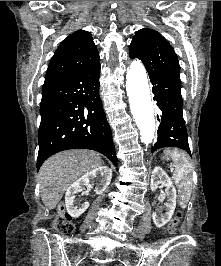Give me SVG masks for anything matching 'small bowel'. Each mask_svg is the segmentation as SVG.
<instances>
[{"label":"small bowel","instance_id":"1","mask_svg":"<svg viewBox=\"0 0 221 266\" xmlns=\"http://www.w3.org/2000/svg\"><path fill=\"white\" fill-rule=\"evenodd\" d=\"M97 266H106V265H104V264H101V265H97Z\"/></svg>","mask_w":221,"mask_h":266}]
</instances>
